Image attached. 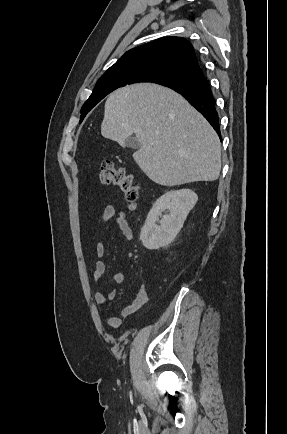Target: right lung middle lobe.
Instances as JSON below:
<instances>
[{
    "mask_svg": "<svg viewBox=\"0 0 287 434\" xmlns=\"http://www.w3.org/2000/svg\"><path fill=\"white\" fill-rule=\"evenodd\" d=\"M180 75L164 70L146 69L132 73L115 74L108 77L100 78L81 109V121L86 114L105 96L117 88L134 83H156L161 84L168 81H178Z\"/></svg>",
    "mask_w": 287,
    "mask_h": 434,
    "instance_id": "dd1d6c3e",
    "label": "right lung middle lobe"
}]
</instances>
